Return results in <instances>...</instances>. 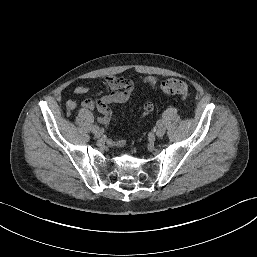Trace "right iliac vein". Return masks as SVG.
<instances>
[{"mask_svg": "<svg viewBox=\"0 0 257 257\" xmlns=\"http://www.w3.org/2000/svg\"><path fill=\"white\" fill-rule=\"evenodd\" d=\"M94 135L97 138H100L103 135V131L101 129H98L97 131L94 132Z\"/></svg>", "mask_w": 257, "mask_h": 257, "instance_id": "1", "label": "right iliac vein"}]
</instances>
